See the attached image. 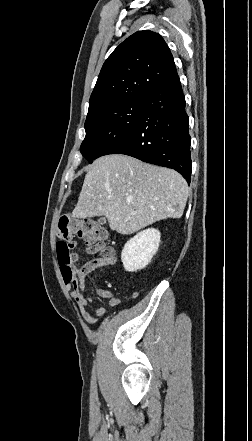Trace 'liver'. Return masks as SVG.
Returning <instances> with one entry per match:
<instances>
[{
    "mask_svg": "<svg viewBox=\"0 0 252 441\" xmlns=\"http://www.w3.org/2000/svg\"><path fill=\"white\" fill-rule=\"evenodd\" d=\"M188 185L176 171L131 156H102L89 166L75 218L104 215L110 229L123 235L183 215Z\"/></svg>",
    "mask_w": 252,
    "mask_h": 441,
    "instance_id": "obj_1",
    "label": "liver"
}]
</instances>
